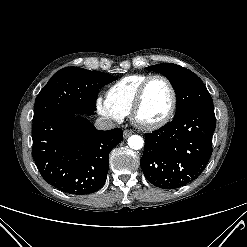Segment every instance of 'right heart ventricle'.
<instances>
[{
  "label": "right heart ventricle",
  "instance_id": "e07e8e85",
  "mask_svg": "<svg viewBox=\"0 0 247 247\" xmlns=\"http://www.w3.org/2000/svg\"><path fill=\"white\" fill-rule=\"evenodd\" d=\"M149 76L150 74L137 73L121 78L110 86L106 98L124 117L129 115L138 88Z\"/></svg>",
  "mask_w": 247,
  "mask_h": 247
}]
</instances>
